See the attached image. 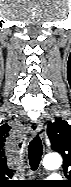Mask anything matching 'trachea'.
<instances>
[{
	"label": "trachea",
	"mask_w": 71,
	"mask_h": 187,
	"mask_svg": "<svg viewBox=\"0 0 71 187\" xmlns=\"http://www.w3.org/2000/svg\"><path fill=\"white\" fill-rule=\"evenodd\" d=\"M43 154V145L39 135H36L30 142L28 147L29 162L32 170H36L41 161Z\"/></svg>",
	"instance_id": "1"
}]
</instances>
